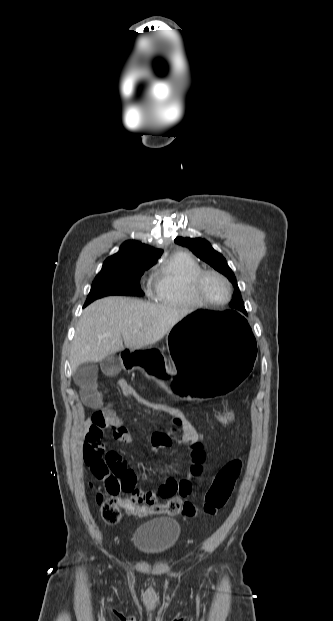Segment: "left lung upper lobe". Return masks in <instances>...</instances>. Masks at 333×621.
<instances>
[{
    "label": "left lung upper lobe",
    "instance_id": "1",
    "mask_svg": "<svg viewBox=\"0 0 333 621\" xmlns=\"http://www.w3.org/2000/svg\"><path fill=\"white\" fill-rule=\"evenodd\" d=\"M175 243L190 249L198 258L212 266L215 270L225 275L235 287V294L230 302L233 311L246 314L244 302L236 282L234 273L229 268L225 258L215 251L210 243L201 238L177 237Z\"/></svg>",
    "mask_w": 333,
    "mask_h": 621
}]
</instances>
